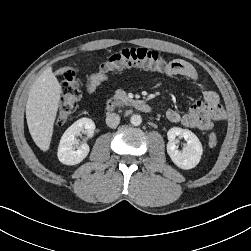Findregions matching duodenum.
Masks as SVG:
<instances>
[{
    "mask_svg": "<svg viewBox=\"0 0 251 251\" xmlns=\"http://www.w3.org/2000/svg\"><path fill=\"white\" fill-rule=\"evenodd\" d=\"M123 103L117 99V98H111L106 101L105 103V109L109 112L114 111L118 107L122 106ZM128 105L138 111L144 112V113H149L151 112L152 108L151 106L144 100L141 99H134L131 100Z\"/></svg>",
    "mask_w": 251,
    "mask_h": 251,
    "instance_id": "duodenum-1",
    "label": "duodenum"
}]
</instances>
